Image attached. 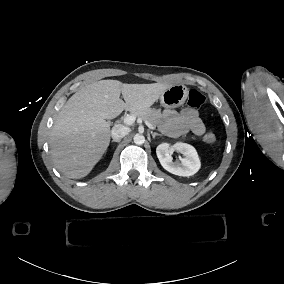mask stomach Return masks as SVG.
I'll use <instances>...</instances> for the list:
<instances>
[{
    "instance_id": "1",
    "label": "stomach",
    "mask_w": 284,
    "mask_h": 284,
    "mask_svg": "<svg viewBox=\"0 0 284 284\" xmlns=\"http://www.w3.org/2000/svg\"><path fill=\"white\" fill-rule=\"evenodd\" d=\"M188 94L189 90L185 85H172L161 94L160 104L167 109L180 107L185 103Z\"/></svg>"
}]
</instances>
